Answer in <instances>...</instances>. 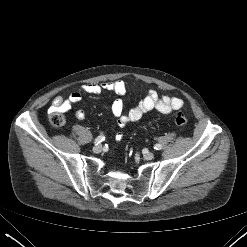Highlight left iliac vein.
<instances>
[{
    "instance_id": "1",
    "label": "left iliac vein",
    "mask_w": 247,
    "mask_h": 247,
    "mask_svg": "<svg viewBox=\"0 0 247 247\" xmlns=\"http://www.w3.org/2000/svg\"><path fill=\"white\" fill-rule=\"evenodd\" d=\"M144 158L146 160H152L154 158V154L152 152H148L147 151V152L144 153Z\"/></svg>"
}]
</instances>
